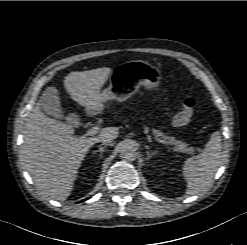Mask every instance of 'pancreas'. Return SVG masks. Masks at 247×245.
I'll return each mask as SVG.
<instances>
[{
  "instance_id": "cf45deb5",
  "label": "pancreas",
  "mask_w": 247,
  "mask_h": 245,
  "mask_svg": "<svg viewBox=\"0 0 247 245\" xmlns=\"http://www.w3.org/2000/svg\"><path fill=\"white\" fill-rule=\"evenodd\" d=\"M153 134L156 137L162 138L168 145L173 146V150L179 153H189L193 154L195 149L192 147H188V144L185 142H182L180 140H176L175 137L168 136L164 133H162L160 130H153Z\"/></svg>"
}]
</instances>
